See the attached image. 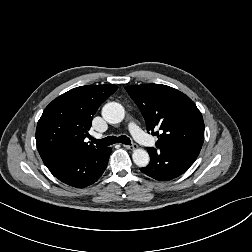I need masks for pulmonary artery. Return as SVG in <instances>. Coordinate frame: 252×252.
Listing matches in <instances>:
<instances>
[{"mask_svg":"<svg viewBox=\"0 0 252 252\" xmlns=\"http://www.w3.org/2000/svg\"><path fill=\"white\" fill-rule=\"evenodd\" d=\"M130 133L133 135L136 141L143 145L152 146L153 140L147 134H145L135 122H130L128 125Z\"/></svg>","mask_w":252,"mask_h":252,"instance_id":"pulmonary-artery-1","label":"pulmonary artery"}]
</instances>
